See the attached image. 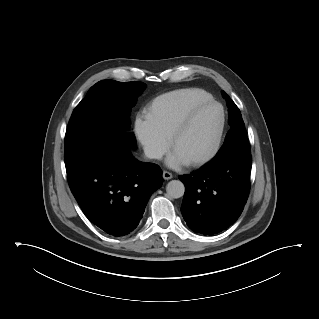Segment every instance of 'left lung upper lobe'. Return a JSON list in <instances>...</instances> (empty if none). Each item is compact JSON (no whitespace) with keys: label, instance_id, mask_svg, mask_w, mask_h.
Returning a JSON list of instances; mask_svg holds the SVG:
<instances>
[{"label":"left lung upper lobe","instance_id":"left-lung-upper-lobe-1","mask_svg":"<svg viewBox=\"0 0 319 319\" xmlns=\"http://www.w3.org/2000/svg\"><path fill=\"white\" fill-rule=\"evenodd\" d=\"M222 94L227 101L229 114L228 123L230 125V130L226 135L223 146L214 158H219L223 154L238 151L251 152L247 132L240 110L224 91H222Z\"/></svg>","mask_w":319,"mask_h":319}]
</instances>
